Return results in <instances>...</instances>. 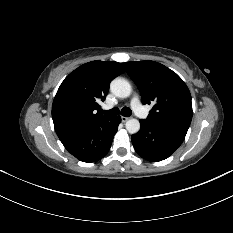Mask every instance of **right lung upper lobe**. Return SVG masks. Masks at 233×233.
<instances>
[{
    "mask_svg": "<svg viewBox=\"0 0 233 233\" xmlns=\"http://www.w3.org/2000/svg\"><path fill=\"white\" fill-rule=\"evenodd\" d=\"M122 71L118 62L92 61L64 79L52 104V119L58 137L110 118L102 115L98 102L105 100L111 80Z\"/></svg>",
    "mask_w": 233,
    "mask_h": 233,
    "instance_id": "obj_1",
    "label": "right lung upper lobe"
}]
</instances>
